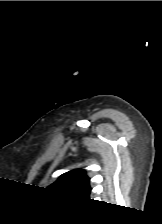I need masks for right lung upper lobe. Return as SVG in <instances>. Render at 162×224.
Instances as JSON below:
<instances>
[{
  "instance_id": "obj_1",
  "label": "right lung upper lobe",
  "mask_w": 162,
  "mask_h": 224,
  "mask_svg": "<svg viewBox=\"0 0 162 224\" xmlns=\"http://www.w3.org/2000/svg\"><path fill=\"white\" fill-rule=\"evenodd\" d=\"M49 188L81 198H89L91 190L89 178L82 169L62 174Z\"/></svg>"
}]
</instances>
